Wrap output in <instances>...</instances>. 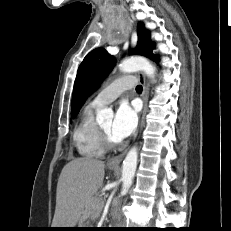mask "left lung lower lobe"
I'll return each mask as SVG.
<instances>
[{
    "instance_id": "obj_1",
    "label": "left lung lower lobe",
    "mask_w": 231,
    "mask_h": 231,
    "mask_svg": "<svg viewBox=\"0 0 231 231\" xmlns=\"http://www.w3.org/2000/svg\"><path fill=\"white\" fill-rule=\"evenodd\" d=\"M150 59L155 62H158V57L156 55H153Z\"/></svg>"
}]
</instances>
